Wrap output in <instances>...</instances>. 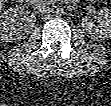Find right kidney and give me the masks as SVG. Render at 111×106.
I'll use <instances>...</instances> for the list:
<instances>
[{"label":"right kidney","mask_w":111,"mask_h":106,"mask_svg":"<svg viewBox=\"0 0 111 106\" xmlns=\"http://www.w3.org/2000/svg\"><path fill=\"white\" fill-rule=\"evenodd\" d=\"M35 21V16L25 13L22 5L8 8L1 16V39L6 42L21 40L32 32Z\"/></svg>","instance_id":"1"}]
</instances>
